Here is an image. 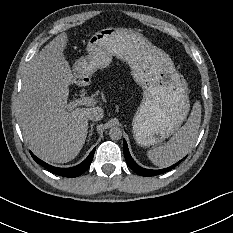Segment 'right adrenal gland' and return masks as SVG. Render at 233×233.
I'll return each instance as SVG.
<instances>
[{
    "instance_id": "1",
    "label": "right adrenal gland",
    "mask_w": 233,
    "mask_h": 233,
    "mask_svg": "<svg viewBox=\"0 0 233 233\" xmlns=\"http://www.w3.org/2000/svg\"><path fill=\"white\" fill-rule=\"evenodd\" d=\"M95 123L91 124L90 130L88 132L89 138L86 140V142H88L91 139V136L93 134V127H94Z\"/></svg>"
}]
</instances>
